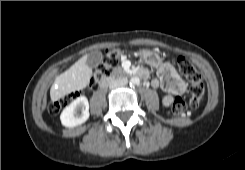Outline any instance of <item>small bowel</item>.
Wrapping results in <instances>:
<instances>
[{"label": "small bowel", "instance_id": "c3829d8e", "mask_svg": "<svg viewBox=\"0 0 245 170\" xmlns=\"http://www.w3.org/2000/svg\"><path fill=\"white\" fill-rule=\"evenodd\" d=\"M151 86L153 88L161 87L166 91L163 102L168 106L172 102L176 91L182 87V81L176 69L165 63L158 66L157 77L151 80Z\"/></svg>", "mask_w": 245, "mask_h": 170}]
</instances>
